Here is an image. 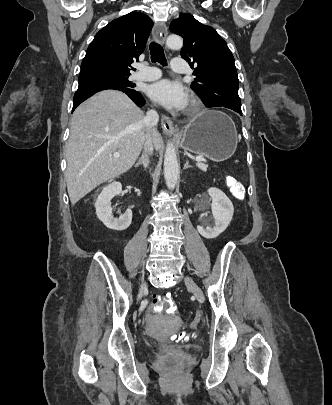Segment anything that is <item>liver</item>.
<instances>
[{"label": "liver", "instance_id": "liver-1", "mask_svg": "<svg viewBox=\"0 0 332 405\" xmlns=\"http://www.w3.org/2000/svg\"><path fill=\"white\" fill-rule=\"evenodd\" d=\"M144 118L126 94L114 90L101 91L77 107L65 149L72 204L133 166L148 134ZM152 139L160 149L163 141L157 130Z\"/></svg>", "mask_w": 332, "mask_h": 405}]
</instances>
